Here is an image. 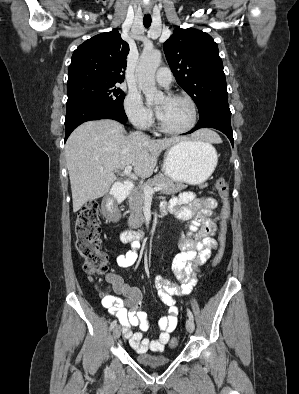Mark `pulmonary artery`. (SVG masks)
<instances>
[{"mask_svg": "<svg viewBox=\"0 0 299 394\" xmlns=\"http://www.w3.org/2000/svg\"><path fill=\"white\" fill-rule=\"evenodd\" d=\"M156 81L159 85L163 87L170 86L172 82L171 71L166 67L160 68L156 74Z\"/></svg>", "mask_w": 299, "mask_h": 394, "instance_id": "e3ab8cb5", "label": "pulmonary artery"}]
</instances>
